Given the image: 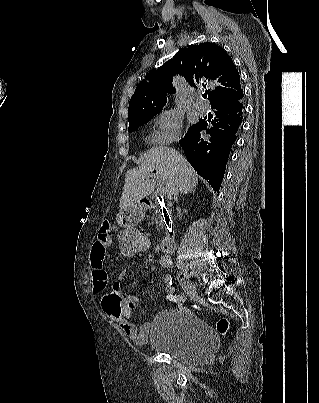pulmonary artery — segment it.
<instances>
[{
    "mask_svg": "<svg viewBox=\"0 0 319 403\" xmlns=\"http://www.w3.org/2000/svg\"><path fill=\"white\" fill-rule=\"evenodd\" d=\"M193 108L197 113L201 115L206 114L208 112V105L201 100L194 103Z\"/></svg>",
    "mask_w": 319,
    "mask_h": 403,
    "instance_id": "e3ab8cb5",
    "label": "pulmonary artery"
}]
</instances>
